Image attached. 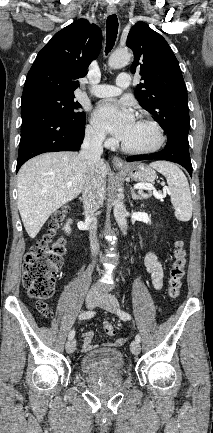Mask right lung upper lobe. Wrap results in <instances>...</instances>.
Returning a JSON list of instances; mask_svg holds the SVG:
<instances>
[{
	"label": "right lung upper lobe",
	"instance_id": "1",
	"mask_svg": "<svg viewBox=\"0 0 213 433\" xmlns=\"http://www.w3.org/2000/svg\"><path fill=\"white\" fill-rule=\"evenodd\" d=\"M102 46V32L95 24L79 19L57 32L38 53L29 70L23 95L53 92L74 95L79 78L96 59Z\"/></svg>",
	"mask_w": 213,
	"mask_h": 433
}]
</instances>
